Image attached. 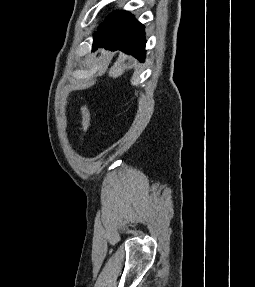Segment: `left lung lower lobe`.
Instances as JSON below:
<instances>
[{
  "mask_svg": "<svg viewBox=\"0 0 255 287\" xmlns=\"http://www.w3.org/2000/svg\"><path fill=\"white\" fill-rule=\"evenodd\" d=\"M93 50L98 47L121 50L140 61L145 58L144 26L126 11H114L100 24L93 35Z\"/></svg>",
  "mask_w": 255,
  "mask_h": 287,
  "instance_id": "left-lung-lower-lobe-1",
  "label": "left lung lower lobe"
}]
</instances>
